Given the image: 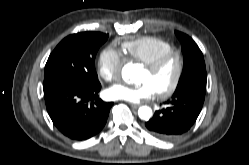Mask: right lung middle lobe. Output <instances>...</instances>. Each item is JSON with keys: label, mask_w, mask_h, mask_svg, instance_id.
<instances>
[{"label": "right lung middle lobe", "mask_w": 249, "mask_h": 165, "mask_svg": "<svg viewBox=\"0 0 249 165\" xmlns=\"http://www.w3.org/2000/svg\"><path fill=\"white\" fill-rule=\"evenodd\" d=\"M108 35L82 32L64 38L54 49L45 65V79H57L84 87L99 85L95 56Z\"/></svg>", "instance_id": "obj_1"}]
</instances>
